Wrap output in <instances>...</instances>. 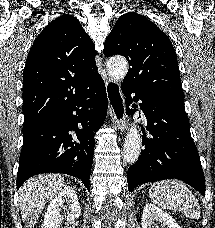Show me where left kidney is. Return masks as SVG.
<instances>
[{
	"label": "left kidney",
	"instance_id": "5707ae66",
	"mask_svg": "<svg viewBox=\"0 0 215 228\" xmlns=\"http://www.w3.org/2000/svg\"><path fill=\"white\" fill-rule=\"evenodd\" d=\"M141 222L142 228H159L158 224H161L160 228H163V226H166V228H181L169 214L159 210L154 204H146Z\"/></svg>",
	"mask_w": 215,
	"mask_h": 228
}]
</instances>
